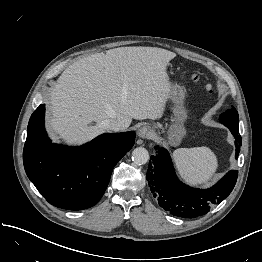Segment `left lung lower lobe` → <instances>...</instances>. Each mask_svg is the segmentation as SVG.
<instances>
[{
	"mask_svg": "<svg viewBox=\"0 0 262 262\" xmlns=\"http://www.w3.org/2000/svg\"><path fill=\"white\" fill-rule=\"evenodd\" d=\"M228 128L237 141V158L242 144L239 127ZM155 148L158 152L151 156L146 177L159 205L174 216L195 218L207 214L212 207L228 197L236 184L238 171L231 170L208 189L190 187L176 177L168 151L159 146Z\"/></svg>",
	"mask_w": 262,
	"mask_h": 262,
	"instance_id": "0a47b994",
	"label": "left lung lower lobe"
}]
</instances>
